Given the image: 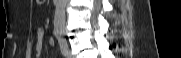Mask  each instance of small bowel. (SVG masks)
Here are the masks:
<instances>
[{"instance_id":"c3829d8e","label":"small bowel","mask_w":181,"mask_h":58,"mask_svg":"<svg viewBox=\"0 0 181 58\" xmlns=\"http://www.w3.org/2000/svg\"><path fill=\"white\" fill-rule=\"evenodd\" d=\"M44 29L42 27H39L37 29V41L34 47L35 50V57L36 58H43V38H44ZM54 39H49V44L51 46L54 45Z\"/></svg>"}]
</instances>
